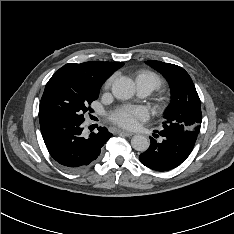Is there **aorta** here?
Segmentation results:
<instances>
[{
	"label": "aorta",
	"mask_w": 234,
	"mask_h": 234,
	"mask_svg": "<svg viewBox=\"0 0 234 234\" xmlns=\"http://www.w3.org/2000/svg\"><path fill=\"white\" fill-rule=\"evenodd\" d=\"M112 93L117 99H130L135 93V84L130 78L120 77L113 82ZM131 145L135 150L144 152L149 148L150 141L146 136L137 134L131 139Z\"/></svg>",
	"instance_id": "aorta-1"
}]
</instances>
